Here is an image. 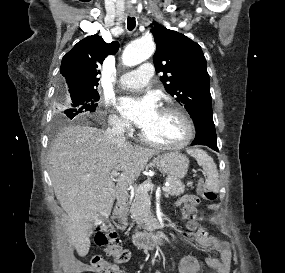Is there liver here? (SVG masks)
<instances>
[{
	"instance_id": "obj_1",
	"label": "liver",
	"mask_w": 285,
	"mask_h": 273,
	"mask_svg": "<svg viewBox=\"0 0 285 273\" xmlns=\"http://www.w3.org/2000/svg\"><path fill=\"white\" fill-rule=\"evenodd\" d=\"M157 152L116 142L90 126H68L51 144L49 173L55 196L69 217L70 241L79 256L90 249L89 234L107 217L117 198L122 205L127 187L138 179ZM121 171L117 185L111 171Z\"/></svg>"
}]
</instances>
